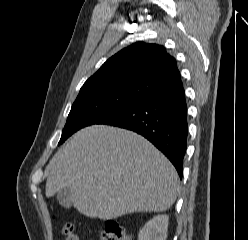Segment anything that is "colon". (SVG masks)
I'll return each mask as SVG.
<instances>
[{"mask_svg":"<svg viewBox=\"0 0 248 240\" xmlns=\"http://www.w3.org/2000/svg\"><path fill=\"white\" fill-rule=\"evenodd\" d=\"M62 234L64 240H79L75 228L71 223L62 225ZM101 240H131L129 233L116 221H107Z\"/></svg>","mask_w":248,"mask_h":240,"instance_id":"1","label":"colon"}]
</instances>
